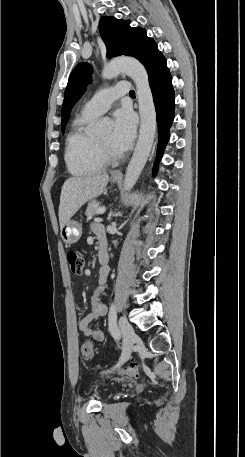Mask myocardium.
<instances>
[{
  "instance_id": "myocardium-1",
  "label": "myocardium",
  "mask_w": 245,
  "mask_h": 457,
  "mask_svg": "<svg viewBox=\"0 0 245 457\" xmlns=\"http://www.w3.org/2000/svg\"><path fill=\"white\" fill-rule=\"evenodd\" d=\"M89 149L91 156L99 162H108L116 160L121 156L119 154L106 151L98 142L95 135H92L89 141Z\"/></svg>"
}]
</instances>
